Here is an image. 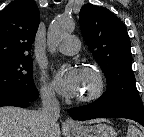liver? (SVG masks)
<instances>
[{
    "label": "liver",
    "instance_id": "liver-1",
    "mask_svg": "<svg viewBox=\"0 0 144 137\" xmlns=\"http://www.w3.org/2000/svg\"><path fill=\"white\" fill-rule=\"evenodd\" d=\"M60 137L57 125L46 132L41 119V111L27 110L19 107H0V137Z\"/></svg>",
    "mask_w": 144,
    "mask_h": 137
}]
</instances>
